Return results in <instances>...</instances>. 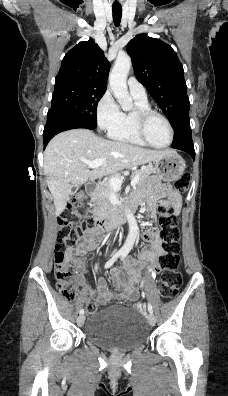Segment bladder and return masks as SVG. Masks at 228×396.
<instances>
[{
    "label": "bladder",
    "instance_id": "obj_1",
    "mask_svg": "<svg viewBox=\"0 0 228 396\" xmlns=\"http://www.w3.org/2000/svg\"><path fill=\"white\" fill-rule=\"evenodd\" d=\"M84 336L99 347L127 351L144 343L148 338V330L140 313L107 308L90 316Z\"/></svg>",
    "mask_w": 228,
    "mask_h": 396
}]
</instances>
